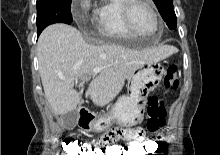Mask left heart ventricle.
Instances as JSON below:
<instances>
[{
	"mask_svg": "<svg viewBox=\"0 0 220 155\" xmlns=\"http://www.w3.org/2000/svg\"><path fill=\"white\" fill-rule=\"evenodd\" d=\"M131 19L134 27L142 33L150 34L156 29V21L149 10L144 4H136L131 11Z\"/></svg>",
	"mask_w": 220,
	"mask_h": 155,
	"instance_id": "left-heart-ventricle-1",
	"label": "left heart ventricle"
}]
</instances>
